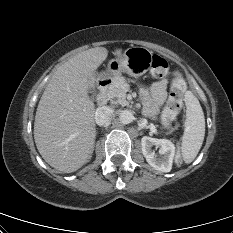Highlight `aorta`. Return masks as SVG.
Listing matches in <instances>:
<instances>
[{"label": "aorta", "mask_w": 233, "mask_h": 233, "mask_svg": "<svg viewBox=\"0 0 233 233\" xmlns=\"http://www.w3.org/2000/svg\"><path fill=\"white\" fill-rule=\"evenodd\" d=\"M134 116L133 113L129 110H123L119 115V121L122 124H129L133 121Z\"/></svg>", "instance_id": "obj_1"}]
</instances>
